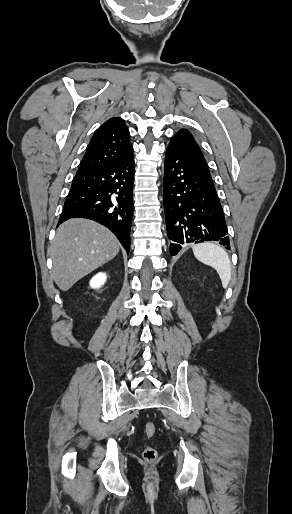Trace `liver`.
I'll return each instance as SVG.
<instances>
[{"instance_id": "6515ba94", "label": "liver", "mask_w": 292, "mask_h": 514, "mask_svg": "<svg viewBox=\"0 0 292 514\" xmlns=\"http://www.w3.org/2000/svg\"><path fill=\"white\" fill-rule=\"evenodd\" d=\"M119 248L116 236L97 222L83 218L64 222L49 248L55 284L67 292L78 280L113 260Z\"/></svg>"}]
</instances>
